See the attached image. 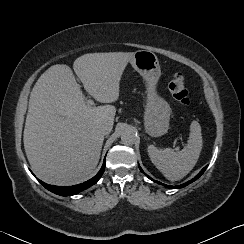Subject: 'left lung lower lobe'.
Here are the masks:
<instances>
[{
    "mask_svg": "<svg viewBox=\"0 0 244 244\" xmlns=\"http://www.w3.org/2000/svg\"><path fill=\"white\" fill-rule=\"evenodd\" d=\"M206 168H207V166L206 167H204L201 171H200V173L195 177V178H193L191 181H188L187 183H185V184H183V185H180V186H168V185H165V184H163L165 187H167V188H171V189H175V188H182V187H185V186H187L188 184H190V183H192V182H194L195 180H197L203 173H204V171L206 170ZM139 169H140V171L141 172H143V170L141 169V167L139 166ZM144 173V172H143ZM145 174V173H144ZM149 179H151L148 175H146ZM151 180H153V179H151ZM154 181V180H153ZM154 182H157V183H159V184H161L160 182H158V181H154Z\"/></svg>",
    "mask_w": 244,
    "mask_h": 244,
    "instance_id": "obj_1",
    "label": "left lung lower lobe"
}]
</instances>
